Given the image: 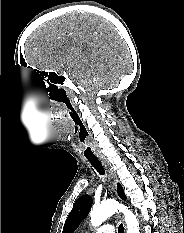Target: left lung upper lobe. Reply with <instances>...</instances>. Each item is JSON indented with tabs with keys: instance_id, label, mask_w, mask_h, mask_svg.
Here are the masks:
<instances>
[{
	"instance_id": "left-lung-upper-lobe-1",
	"label": "left lung upper lobe",
	"mask_w": 184,
	"mask_h": 233,
	"mask_svg": "<svg viewBox=\"0 0 184 233\" xmlns=\"http://www.w3.org/2000/svg\"><path fill=\"white\" fill-rule=\"evenodd\" d=\"M118 195L123 200L126 199V195L124 194L123 188L120 184L117 185ZM92 206V198L91 196L85 195L79 197L73 206V209L69 213L63 233H73L76 228L79 226L81 221L87 217L88 212Z\"/></svg>"
}]
</instances>
